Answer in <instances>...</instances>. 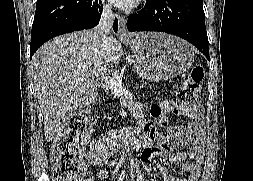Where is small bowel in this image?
I'll return each mask as SVG.
<instances>
[{"label": "small bowel", "instance_id": "c3829d8e", "mask_svg": "<svg viewBox=\"0 0 253 181\" xmlns=\"http://www.w3.org/2000/svg\"><path fill=\"white\" fill-rule=\"evenodd\" d=\"M177 106L174 100H165L155 103L150 109L153 123L147 124L142 130L143 152L141 162L145 172L150 171V163L153 159L164 156L172 163H181L180 170L185 174L184 178H176L170 174L163 164H158V171L161 181H198L201 164L203 162L204 144L198 130H189L184 135H179L171 130L168 135H160L156 128L164 127L167 124L166 113ZM108 139L99 138L90 144V151L87 154L89 162L101 166L105 163L108 155ZM190 144V151H176L177 146ZM187 158L191 163H184ZM100 175L104 176L102 171Z\"/></svg>", "mask_w": 253, "mask_h": 181}]
</instances>
